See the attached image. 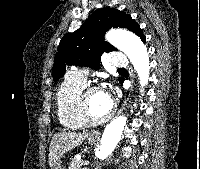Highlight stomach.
Instances as JSON below:
<instances>
[{
	"instance_id": "stomach-1",
	"label": "stomach",
	"mask_w": 200,
	"mask_h": 169,
	"mask_svg": "<svg viewBox=\"0 0 200 169\" xmlns=\"http://www.w3.org/2000/svg\"><path fill=\"white\" fill-rule=\"evenodd\" d=\"M96 142V139H93L91 136L88 137V143L89 144H94ZM51 169H65L64 166L61 164L59 161L56 165L51 167Z\"/></svg>"
}]
</instances>
